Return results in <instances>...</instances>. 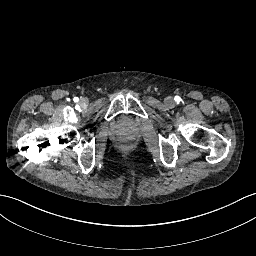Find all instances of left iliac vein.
Listing matches in <instances>:
<instances>
[{
  "label": "left iliac vein",
  "mask_w": 256,
  "mask_h": 256,
  "mask_svg": "<svg viewBox=\"0 0 256 256\" xmlns=\"http://www.w3.org/2000/svg\"><path fill=\"white\" fill-rule=\"evenodd\" d=\"M165 104H166L168 107H173L174 104H175V102H174V100H173L172 97H167V98L165 99Z\"/></svg>",
  "instance_id": "left-iliac-vein-1"
}]
</instances>
